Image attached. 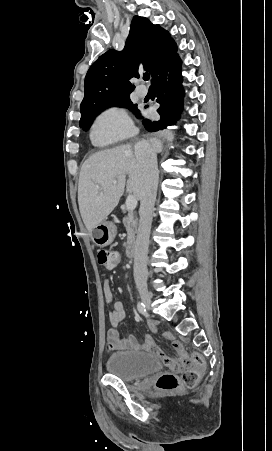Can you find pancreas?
Segmentation results:
<instances>
[{"label":"pancreas","instance_id":"obj_1","mask_svg":"<svg viewBox=\"0 0 272 451\" xmlns=\"http://www.w3.org/2000/svg\"><path fill=\"white\" fill-rule=\"evenodd\" d=\"M123 224L126 227L127 235V243L126 249H130L132 245L135 243V233H137V224L134 218V214L130 212L126 218H123Z\"/></svg>","mask_w":272,"mask_h":451}]
</instances>
